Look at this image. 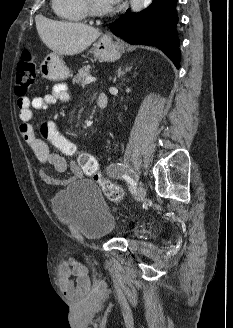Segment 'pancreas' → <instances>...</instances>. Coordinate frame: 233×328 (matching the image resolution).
<instances>
[{
  "mask_svg": "<svg viewBox=\"0 0 233 328\" xmlns=\"http://www.w3.org/2000/svg\"><path fill=\"white\" fill-rule=\"evenodd\" d=\"M90 68L89 65L82 67L74 77L73 83L84 86L86 84V78L90 76Z\"/></svg>",
  "mask_w": 233,
  "mask_h": 328,
  "instance_id": "1",
  "label": "pancreas"
}]
</instances>
